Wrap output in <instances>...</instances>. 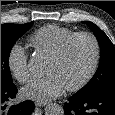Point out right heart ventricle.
Segmentation results:
<instances>
[{"label":"right heart ventricle","mask_w":115,"mask_h":115,"mask_svg":"<svg viewBox=\"0 0 115 115\" xmlns=\"http://www.w3.org/2000/svg\"><path fill=\"white\" fill-rule=\"evenodd\" d=\"M75 33L77 32L69 28L50 24L34 32L30 37V41L37 51L51 57L61 44Z\"/></svg>","instance_id":"1"}]
</instances>
